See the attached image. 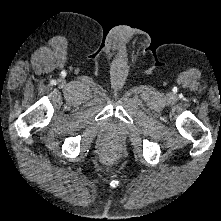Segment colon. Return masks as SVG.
Here are the masks:
<instances>
[{
  "label": "colon",
  "mask_w": 221,
  "mask_h": 221,
  "mask_svg": "<svg viewBox=\"0 0 221 221\" xmlns=\"http://www.w3.org/2000/svg\"><path fill=\"white\" fill-rule=\"evenodd\" d=\"M118 153V146L116 144H110L102 156V161L105 164L112 163L118 157Z\"/></svg>",
  "instance_id": "1"
}]
</instances>
